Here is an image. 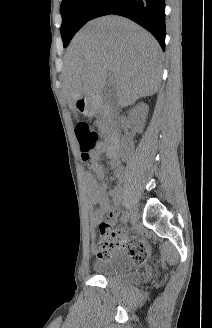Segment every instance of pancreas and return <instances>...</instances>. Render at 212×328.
<instances>
[{"mask_svg":"<svg viewBox=\"0 0 212 328\" xmlns=\"http://www.w3.org/2000/svg\"><path fill=\"white\" fill-rule=\"evenodd\" d=\"M96 124L100 130L105 129V118L103 116H99L96 120Z\"/></svg>","mask_w":212,"mask_h":328,"instance_id":"pancreas-1","label":"pancreas"}]
</instances>
